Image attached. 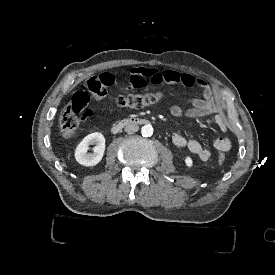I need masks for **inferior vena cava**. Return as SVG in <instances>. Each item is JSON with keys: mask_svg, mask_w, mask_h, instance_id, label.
Listing matches in <instances>:
<instances>
[{"mask_svg": "<svg viewBox=\"0 0 275 275\" xmlns=\"http://www.w3.org/2000/svg\"><path fill=\"white\" fill-rule=\"evenodd\" d=\"M124 130L125 132L131 134V133L137 132L139 130V126L136 124H128L125 126Z\"/></svg>", "mask_w": 275, "mask_h": 275, "instance_id": "1", "label": "inferior vena cava"}]
</instances>
